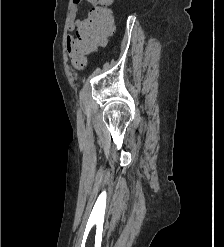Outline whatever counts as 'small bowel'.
I'll list each match as a JSON object with an SVG mask.
<instances>
[{"mask_svg": "<svg viewBox=\"0 0 224 247\" xmlns=\"http://www.w3.org/2000/svg\"><path fill=\"white\" fill-rule=\"evenodd\" d=\"M89 4L93 7L98 5V0H72L67 27L70 32H74V35L67 37L66 46L67 51L72 57H76L83 53L78 40V33L85 20L78 17V11L83 4Z\"/></svg>", "mask_w": 224, "mask_h": 247, "instance_id": "1", "label": "small bowel"}]
</instances>
